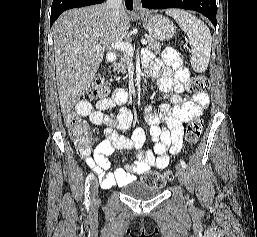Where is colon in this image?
Returning a JSON list of instances; mask_svg holds the SVG:
<instances>
[{
	"label": "colon",
	"mask_w": 257,
	"mask_h": 237,
	"mask_svg": "<svg viewBox=\"0 0 257 237\" xmlns=\"http://www.w3.org/2000/svg\"><path fill=\"white\" fill-rule=\"evenodd\" d=\"M210 87L209 79L203 74H196L193 77L192 89L196 92H206ZM107 92V87L102 78H95L88 86L85 98L88 101H97L103 99ZM65 125L68 127L71 138L85 142V135L88 131V123L80 118L76 113L69 112L64 116ZM204 124L200 117H195L188 123L185 132V140L188 144H196L203 132ZM172 175L170 173H147L143 177V182L157 187H162Z\"/></svg>",
	"instance_id": "1"
}]
</instances>
